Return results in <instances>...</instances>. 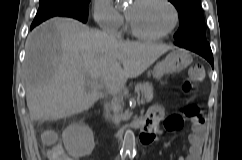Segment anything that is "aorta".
<instances>
[{"mask_svg":"<svg viewBox=\"0 0 242 160\" xmlns=\"http://www.w3.org/2000/svg\"><path fill=\"white\" fill-rule=\"evenodd\" d=\"M134 148H135V134L132 130H126L122 149L125 151H131Z\"/></svg>","mask_w":242,"mask_h":160,"instance_id":"aorta-1","label":"aorta"}]
</instances>
